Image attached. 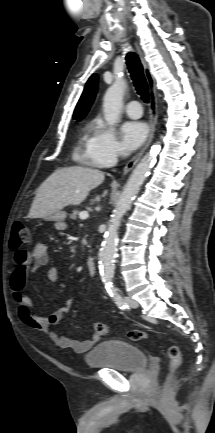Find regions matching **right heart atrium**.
<instances>
[{"label": "right heart atrium", "instance_id": "obj_1", "mask_svg": "<svg viewBox=\"0 0 215 433\" xmlns=\"http://www.w3.org/2000/svg\"><path fill=\"white\" fill-rule=\"evenodd\" d=\"M123 154L122 146L112 127L98 119L89 148L90 159L100 167L113 165Z\"/></svg>", "mask_w": 215, "mask_h": 433}]
</instances>
